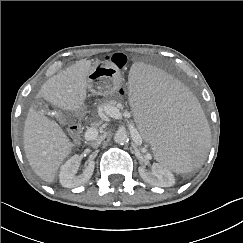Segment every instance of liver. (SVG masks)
<instances>
[{"mask_svg":"<svg viewBox=\"0 0 243 243\" xmlns=\"http://www.w3.org/2000/svg\"><path fill=\"white\" fill-rule=\"evenodd\" d=\"M92 62H78L49 78L38 97L67 111H79L87 98L88 74ZM23 144L26 158L33 171L51 183L73 144L54 121L30 107L24 124Z\"/></svg>","mask_w":243,"mask_h":243,"instance_id":"liver-1","label":"liver"}]
</instances>
